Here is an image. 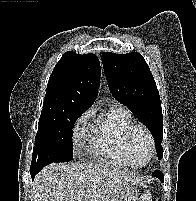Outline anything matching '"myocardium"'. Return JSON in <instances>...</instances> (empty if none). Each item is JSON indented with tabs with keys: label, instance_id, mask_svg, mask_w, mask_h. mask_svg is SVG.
<instances>
[{
	"label": "myocardium",
	"instance_id": "f54148a6",
	"mask_svg": "<svg viewBox=\"0 0 196 201\" xmlns=\"http://www.w3.org/2000/svg\"><path fill=\"white\" fill-rule=\"evenodd\" d=\"M138 131H141L146 135V137L148 139V142H149V147H150L149 157H148L147 161L145 163L141 164V165H136L133 162L132 153H131L132 138H133L134 134L136 132H138ZM124 149H125V154H126L127 161H128L130 166L138 168V167H144V166L148 165L151 162V160L153 159V156L155 154L154 137H153L151 131L149 130V128L146 127L145 125L139 124V123L131 125L126 130V133H125V136H124Z\"/></svg>",
	"mask_w": 196,
	"mask_h": 201
}]
</instances>
